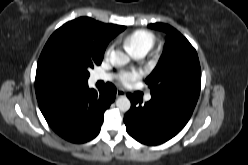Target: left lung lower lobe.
<instances>
[{"instance_id":"left-lung-lower-lobe-1","label":"left lung lower lobe","mask_w":248,"mask_h":165,"mask_svg":"<svg viewBox=\"0 0 248 165\" xmlns=\"http://www.w3.org/2000/svg\"><path fill=\"white\" fill-rule=\"evenodd\" d=\"M131 108L124 116L126 130L140 143L157 145L177 135L190 119L196 104L182 100L152 97L141 105L133 95L127 94Z\"/></svg>"}]
</instances>
